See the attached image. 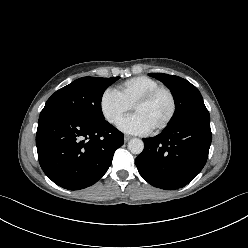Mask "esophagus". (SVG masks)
I'll list each match as a JSON object with an SVG mask.
<instances>
[{
    "label": "esophagus",
    "instance_id": "34e87169",
    "mask_svg": "<svg viewBox=\"0 0 248 248\" xmlns=\"http://www.w3.org/2000/svg\"><path fill=\"white\" fill-rule=\"evenodd\" d=\"M131 139V136L129 135H124V141L128 142Z\"/></svg>",
    "mask_w": 248,
    "mask_h": 248
}]
</instances>
